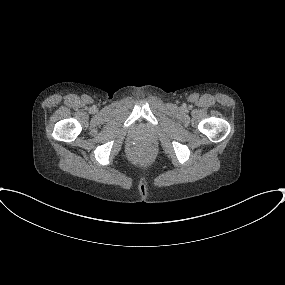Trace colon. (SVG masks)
<instances>
[{
    "label": "colon",
    "mask_w": 285,
    "mask_h": 285,
    "mask_svg": "<svg viewBox=\"0 0 285 285\" xmlns=\"http://www.w3.org/2000/svg\"><path fill=\"white\" fill-rule=\"evenodd\" d=\"M137 158L142 162H147L153 157V150L148 145H141L136 150Z\"/></svg>",
    "instance_id": "5ec220e1"
}]
</instances>
